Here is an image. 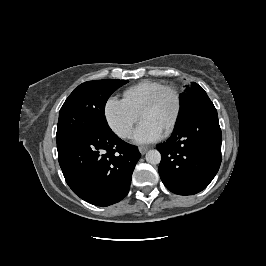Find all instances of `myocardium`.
<instances>
[{
  "label": "myocardium",
  "instance_id": "myocardium-1",
  "mask_svg": "<svg viewBox=\"0 0 266 266\" xmlns=\"http://www.w3.org/2000/svg\"><path fill=\"white\" fill-rule=\"evenodd\" d=\"M166 91H170L174 94L175 99H176V110H175V114L171 120V122L167 125V127L164 129L166 132L171 131L177 124L179 118H180V114H181V110H182V99H181V95L179 90L174 87V86H169V85H164L162 87H160L159 89H157L149 98L148 100L144 103L141 111H140V117H143L144 112L150 108L151 106H153L156 101L159 99V97Z\"/></svg>",
  "mask_w": 266,
  "mask_h": 266
}]
</instances>
